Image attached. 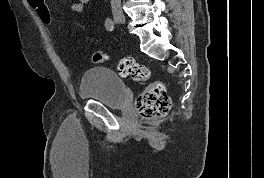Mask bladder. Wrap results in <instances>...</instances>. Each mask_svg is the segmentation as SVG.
Instances as JSON below:
<instances>
[{
	"label": "bladder",
	"mask_w": 264,
	"mask_h": 178,
	"mask_svg": "<svg viewBox=\"0 0 264 178\" xmlns=\"http://www.w3.org/2000/svg\"><path fill=\"white\" fill-rule=\"evenodd\" d=\"M79 89L82 99L96 100L110 108H122L129 100L124 82L108 67H92L85 71Z\"/></svg>",
	"instance_id": "obj_1"
}]
</instances>
